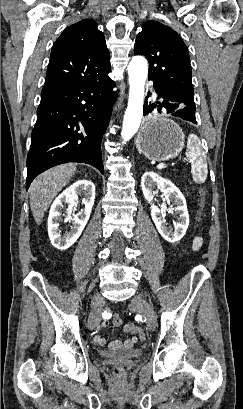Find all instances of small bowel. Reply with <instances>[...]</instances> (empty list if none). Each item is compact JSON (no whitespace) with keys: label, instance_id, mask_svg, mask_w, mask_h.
Here are the masks:
<instances>
[{"label":"small bowel","instance_id":"1","mask_svg":"<svg viewBox=\"0 0 243 409\" xmlns=\"http://www.w3.org/2000/svg\"><path fill=\"white\" fill-rule=\"evenodd\" d=\"M202 245H203V239L201 237L194 238L193 243H192V247L194 251L199 250L202 247ZM107 326H108V321H103L99 327V333H96L93 337L94 343L97 344L98 346H103L106 343L105 338L102 336L101 332H103ZM138 340H142V339H140L138 335L134 334L124 341L116 340L112 342L110 346L112 348H118V347L131 348L138 342Z\"/></svg>","mask_w":243,"mask_h":409}]
</instances>
